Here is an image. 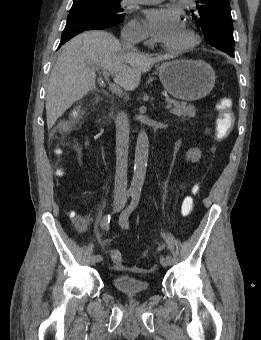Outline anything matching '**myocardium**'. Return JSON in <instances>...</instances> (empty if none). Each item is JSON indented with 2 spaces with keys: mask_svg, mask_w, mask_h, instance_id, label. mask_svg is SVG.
Instances as JSON below:
<instances>
[{
  "mask_svg": "<svg viewBox=\"0 0 261 340\" xmlns=\"http://www.w3.org/2000/svg\"><path fill=\"white\" fill-rule=\"evenodd\" d=\"M183 32L185 34L186 40L180 45H176V46L168 45L166 48L167 50L174 52V53H182V52L189 51L196 46L198 42V37L196 33L194 32V30H192L189 27H183Z\"/></svg>",
  "mask_w": 261,
  "mask_h": 340,
  "instance_id": "myocardium-1",
  "label": "myocardium"
}]
</instances>
